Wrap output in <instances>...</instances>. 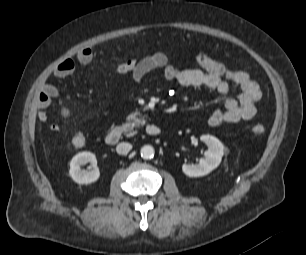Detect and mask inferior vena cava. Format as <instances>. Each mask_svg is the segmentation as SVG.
Returning a JSON list of instances; mask_svg holds the SVG:
<instances>
[{
	"label": "inferior vena cava",
	"instance_id": "602c4592",
	"mask_svg": "<svg viewBox=\"0 0 306 255\" xmlns=\"http://www.w3.org/2000/svg\"><path fill=\"white\" fill-rule=\"evenodd\" d=\"M132 149V145L130 143H120L116 147V151L118 154L125 155Z\"/></svg>",
	"mask_w": 306,
	"mask_h": 255
}]
</instances>
